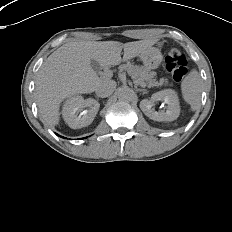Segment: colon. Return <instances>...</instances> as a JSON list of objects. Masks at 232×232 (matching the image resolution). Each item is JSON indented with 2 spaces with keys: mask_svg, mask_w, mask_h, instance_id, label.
I'll use <instances>...</instances> for the list:
<instances>
[{
  "mask_svg": "<svg viewBox=\"0 0 232 232\" xmlns=\"http://www.w3.org/2000/svg\"><path fill=\"white\" fill-rule=\"evenodd\" d=\"M164 65L171 78L179 82L187 73V59L178 50L171 49L164 59Z\"/></svg>",
  "mask_w": 232,
  "mask_h": 232,
  "instance_id": "1",
  "label": "colon"
}]
</instances>
